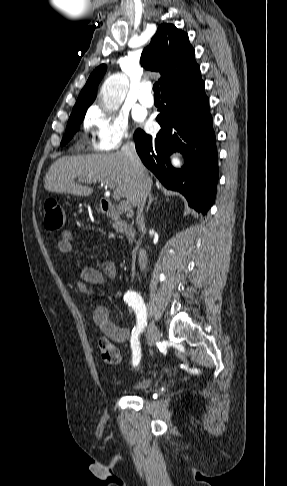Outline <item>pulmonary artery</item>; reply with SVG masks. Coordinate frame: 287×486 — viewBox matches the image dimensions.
<instances>
[{
	"label": "pulmonary artery",
	"instance_id": "1",
	"mask_svg": "<svg viewBox=\"0 0 287 486\" xmlns=\"http://www.w3.org/2000/svg\"><path fill=\"white\" fill-rule=\"evenodd\" d=\"M151 88V84L149 83L142 85L138 95L139 102L146 107H151L154 104Z\"/></svg>",
	"mask_w": 287,
	"mask_h": 486
}]
</instances>
